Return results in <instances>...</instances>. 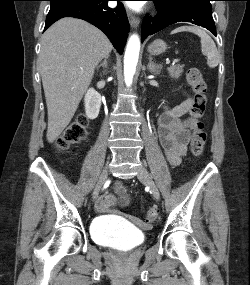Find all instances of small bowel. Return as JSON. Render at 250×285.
Here are the masks:
<instances>
[{
  "label": "small bowel",
  "mask_w": 250,
  "mask_h": 285,
  "mask_svg": "<svg viewBox=\"0 0 250 285\" xmlns=\"http://www.w3.org/2000/svg\"><path fill=\"white\" fill-rule=\"evenodd\" d=\"M193 99L186 95L185 99L174 107H164L158 119V137L168 162L177 166L182 156L187 152L190 140V125L193 122L191 117L184 118L192 107ZM116 192L122 204L129 200L128 193L123 185L117 184ZM117 198L108 195L99 204V209L104 211L114 206Z\"/></svg>",
  "instance_id": "1"
}]
</instances>
